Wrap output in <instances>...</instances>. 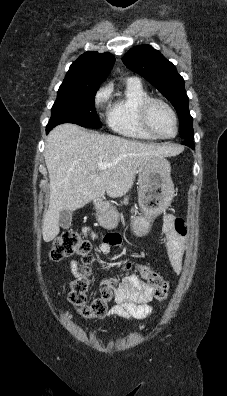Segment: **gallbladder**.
Wrapping results in <instances>:
<instances>
[{
	"instance_id": "bac80fb5",
	"label": "gallbladder",
	"mask_w": 227,
	"mask_h": 396,
	"mask_svg": "<svg viewBox=\"0 0 227 396\" xmlns=\"http://www.w3.org/2000/svg\"><path fill=\"white\" fill-rule=\"evenodd\" d=\"M71 222H72L71 212L67 210H62L59 213V225L63 229H68L71 226Z\"/></svg>"
}]
</instances>
